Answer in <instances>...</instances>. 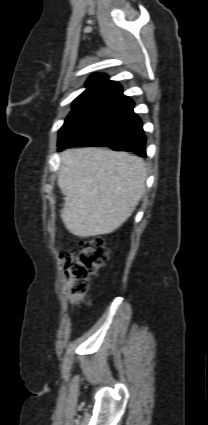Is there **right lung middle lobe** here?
<instances>
[{
  "label": "right lung middle lobe",
  "instance_id": "dd1d6c3e",
  "mask_svg": "<svg viewBox=\"0 0 208 425\" xmlns=\"http://www.w3.org/2000/svg\"><path fill=\"white\" fill-rule=\"evenodd\" d=\"M98 94L96 93H82L73 101V110L67 117L66 121L79 109L85 106L89 101L94 100Z\"/></svg>",
  "mask_w": 208,
  "mask_h": 425
}]
</instances>
